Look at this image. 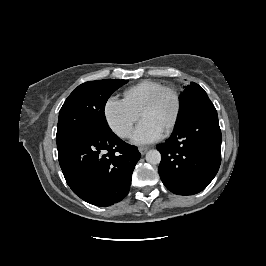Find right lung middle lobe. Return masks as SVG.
<instances>
[{
  "label": "right lung middle lobe",
  "mask_w": 266,
  "mask_h": 266,
  "mask_svg": "<svg viewBox=\"0 0 266 266\" xmlns=\"http://www.w3.org/2000/svg\"><path fill=\"white\" fill-rule=\"evenodd\" d=\"M127 80L89 81L73 90L59 112L57 149L95 133L110 130L104 108L110 95Z\"/></svg>",
  "instance_id": "dd1d6c3e"
}]
</instances>
